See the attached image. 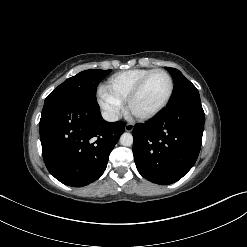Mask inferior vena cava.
I'll return each instance as SVG.
<instances>
[{
    "label": "inferior vena cava",
    "mask_w": 247,
    "mask_h": 247,
    "mask_svg": "<svg viewBox=\"0 0 247 247\" xmlns=\"http://www.w3.org/2000/svg\"><path fill=\"white\" fill-rule=\"evenodd\" d=\"M102 117L108 122L118 121V115L113 112L104 111L102 112Z\"/></svg>",
    "instance_id": "602c4592"
}]
</instances>
